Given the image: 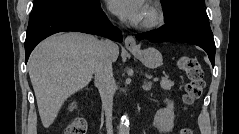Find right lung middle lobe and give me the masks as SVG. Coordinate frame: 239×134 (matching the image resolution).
<instances>
[{
	"label": "right lung middle lobe",
	"instance_id": "dd1d6c3e",
	"mask_svg": "<svg viewBox=\"0 0 239 134\" xmlns=\"http://www.w3.org/2000/svg\"><path fill=\"white\" fill-rule=\"evenodd\" d=\"M51 0H34V9L35 8H38L39 6L43 5L44 3L46 2H49ZM84 2H93V1H96V0H82Z\"/></svg>",
	"mask_w": 239,
	"mask_h": 134
}]
</instances>
